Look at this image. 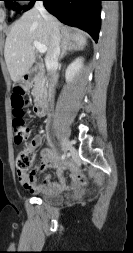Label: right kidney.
I'll return each instance as SVG.
<instances>
[{
	"mask_svg": "<svg viewBox=\"0 0 133 253\" xmlns=\"http://www.w3.org/2000/svg\"><path fill=\"white\" fill-rule=\"evenodd\" d=\"M83 66V59L77 58L75 61H73L66 70V80L68 82H72L75 76L78 74L79 70Z\"/></svg>",
	"mask_w": 133,
	"mask_h": 253,
	"instance_id": "1",
	"label": "right kidney"
}]
</instances>
